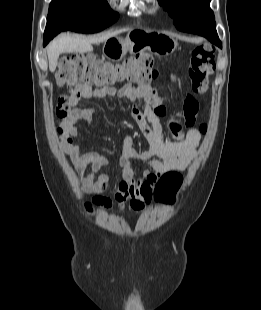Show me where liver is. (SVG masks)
<instances>
[{"instance_id":"obj_1","label":"liver","mask_w":261,"mask_h":310,"mask_svg":"<svg viewBox=\"0 0 261 310\" xmlns=\"http://www.w3.org/2000/svg\"><path fill=\"white\" fill-rule=\"evenodd\" d=\"M132 31L131 29H122L110 32L98 37L86 38L82 36L62 35L54 39L47 48L49 61V70L53 73L57 67V61L62 53H87L93 51L92 44L107 41L122 32Z\"/></svg>"}]
</instances>
